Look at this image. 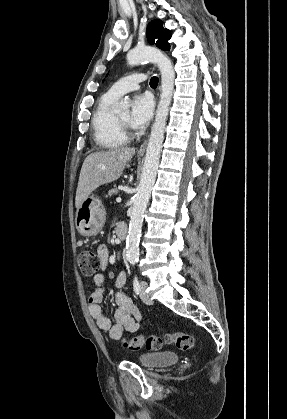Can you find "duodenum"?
I'll return each mask as SVG.
<instances>
[{
  "mask_svg": "<svg viewBox=\"0 0 287 419\" xmlns=\"http://www.w3.org/2000/svg\"><path fill=\"white\" fill-rule=\"evenodd\" d=\"M127 233H128V228L124 224H121L120 226L117 227L116 235L119 240L125 239V237L127 236Z\"/></svg>",
  "mask_w": 287,
  "mask_h": 419,
  "instance_id": "duodenum-1",
  "label": "duodenum"
}]
</instances>
